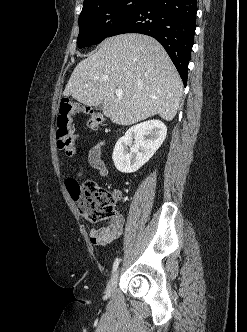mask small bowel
Wrapping results in <instances>:
<instances>
[{
    "mask_svg": "<svg viewBox=\"0 0 247 332\" xmlns=\"http://www.w3.org/2000/svg\"><path fill=\"white\" fill-rule=\"evenodd\" d=\"M103 142L94 146L89 154V161L91 165L98 170L101 177H105L108 174L107 167L101 159V146ZM78 176L82 175V170L80 169ZM114 202L118 203L122 199V192L118 189L112 192ZM125 224V218L121 214H116L110 222L103 227H93L89 231V238L93 245L103 246L113 240L117 239L123 232Z\"/></svg>",
    "mask_w": 247,
    "mask_h": 332,
    "instance_id": "c3829d8e",
    "label": "small bowel"
}]
</instances>
